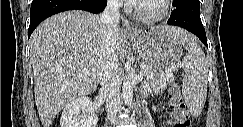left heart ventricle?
<instances>
[{
	"instance_id": "left-heart-ventricle-1",
	"label": "left heart ventricle",
	"mask_w": 243,
	"mask_h": 127,
	"mask_svg": "<svg viewBox=\"0 0 243 127\" xmlns=\"http://www.w3.org/2000/svg\"><path fill=\"white\" fill-rule=\"evenodd\" d=\"M161 7L160 0H144L139 5L140 11L146 14L157 13L161 10Z\"/></svg>"
}]
</instances>
